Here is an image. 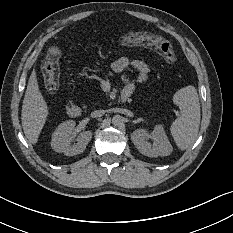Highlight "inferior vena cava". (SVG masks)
<instances>
[{
    "label": "inferior vena cava",
    "instance_id": "obj_1",
    "mask_svg": "<svg viewBox=\"0 0 233 233\" xmlns=\"http://www.w3.org/2000/svg\"><path fill=\"white\" fill-rule=\"evenodd\" d=\"M104 114H105V110H103V109L95 110V111H92V112H91V116H92L93 118L101 117V116H103Z\"/></svg>",
    "mask_w": 233,
    "mask_h": 233
}]
</instances>
